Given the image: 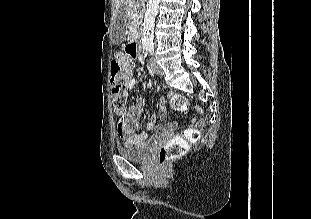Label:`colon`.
Masks as SVG:
<instances>
[{
  "instance_id": "1",
  "label": "colon",
  "mask_w": 311,
  "mask_h": 219,
  "mask_svg": "<svg viewBox=\"0 0 311 219\" xmlns=\"http://www.w3.org/2000/svg\"><path fill=\"white\" fill-rule=\"evenodd\" d=\"M136 48H129L128 53L135 56ZM111 82L113 94V106L116 114H123L126 102L127 93L125 86V76L122 66L117 61L111 64ZM170 104L176 111H184L188 108V101L180 94H172L170 96ZM203 120L198 122L197 127L186 129L182 135L175 136L166 145L162 146L158 151L157 158L159 164L163 167L170 161L184 155L191 144H195L200 137L199 126H202Z\"/></svg>"
}]
</instances>
